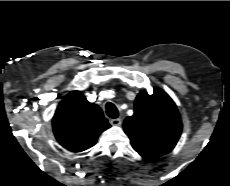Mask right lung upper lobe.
<instances>
[{"label":"right lung upper lobe","mask_w":230,"mask_h":186,"mask_svg":"<svg viewBox=\"0 0 230 186\" xmlns=\"http://www.w3.org/2000/svg\"><path fill=\"white\" fill-rule=\"evenodd\" d=\"M109 127L100 107L90 103L79 91L70 92L60 102L53 118L57 141L72 152L92 147Z\"/></svg>","instance_id":"obj_1"}]
</instances>
